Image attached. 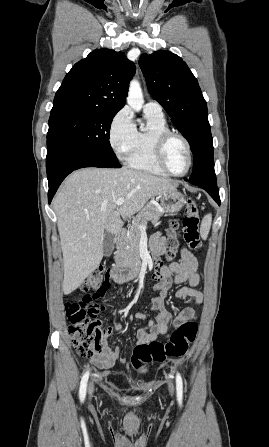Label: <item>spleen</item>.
Segmentation results:
<instances>
[{"mask_svg": "<svg viewBox=\"0 0 269 447\" xmlns=\"http://www.w3.org/2000/svg\"><path fill=\"white\" fill-rule=\"evenodd\" d=\"M211 224H212V214H207V216H204L200 225V235L202 239H207Z\"/></svg>", "mask_w": 269, "mask_h": 447, "instance_id": "spleen-1", "label": "spleen"}]
</instances>
